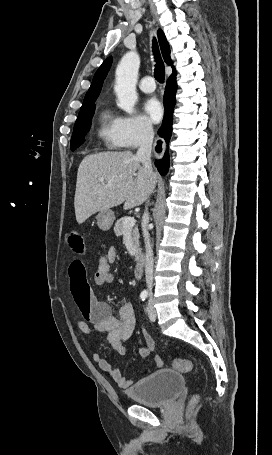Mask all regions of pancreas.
Here are the masks:
<instances>
[{
    "label": "pancreas",
    "instance_id": "1",
    "mask_svg": "<svg viewBox=\"0 0 272 455\" xmlns=\"http://www.w3.org/2000/svg\"><path fill=\"white\" fill-rule=\"evenodd\" d=\"M125 219H126L125 217H122L119 220H117V222L114 226V232H115L116 236H121L124 233L125 228H124L123 222ZM132 236H133L132 240L134 243V247L136 248L137 252H139L140 251V249H139V230L137 227L132 229ZM137 259H138V256H136V260Z\"/></svg>",
    "mask_w": 272,
    "mask_h": 455
}]
</instances>
